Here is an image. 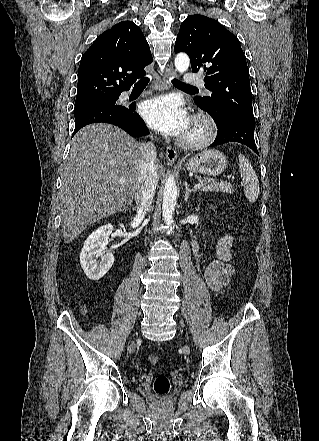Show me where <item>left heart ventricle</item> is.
<instances>
[{"label": "left heart ventricle", "instance_id": "1", "mask_svg": "<svg viewBox=\"0 0 319 441\" xmlns=\"http://www.w3.org/2000/svg\"><path fill=\"white\" fill-rule=\"evenodd\" d=\"M196 132V129L195 128H188V130L186 131V133H195Z\"/></svg>", "mask_w": 319, "mask_h": 441}]
</instances>
